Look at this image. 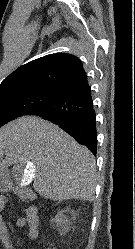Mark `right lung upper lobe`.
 Returning <instances> with one entry per match:
<instances>
[{
  "instance_id": "right-lung-upper-lobe-1",
  "label": "right lung upper lobe",
  "mask_w": 135,
  "mask_h": 249,
  "mask_svg": "<svg viewBox=\"0 0 135 249\" xmlns=\"http://www.w3.org/2000/svg\"><path fill=\"white\" fill-rule=\"evenodd\" d=\"M88 84L81 60L67 53L47 55L12 72L0 84V95L66 90Z\"/></svg>"
}]
</instances>
